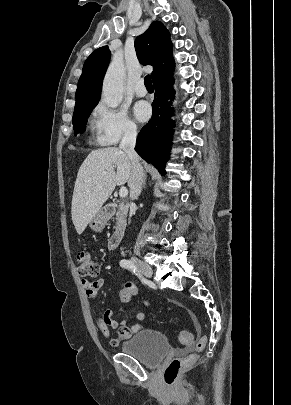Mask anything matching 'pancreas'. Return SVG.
<instances>
[{
    "label": "pancreas",
    "instance_id": "obj_1",
    "mask_svg": "<svg viewBox=\"0 0 291 405\" xmlns=\"http://www.w3.org/2000/svg\"><path fill=\"white\" fill-rule=\"evenodd\" d=\"M126 212H123L122 210L119 209V211L116 214V220L118 225H123L126 222ZM117 228V226L115 227Z\"/></svg>",
    "mask_w": 291,
    "mask_h": 405
}]
</instances>
